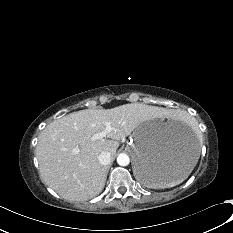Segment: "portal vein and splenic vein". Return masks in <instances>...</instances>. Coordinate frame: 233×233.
<instances>
[{
	"label": "portal vein and splenic vein",
	"mask_w": 233,
	"mask_h": 233,
	"mask_svg": "<svg viewBox=\"0 0 233 233\" xmlns=\"http://www.w3.org/2000/svg\"><path fill=\"white\" fill-rule=\"evenodd\" d=\"M112 131V127L110 125V123H106V128L98 133H95L92 136V140H98V139H103L104 137H106L110 132Z\"/></svg>",
	"instance_id": "obj_1"
}]
</instances>
